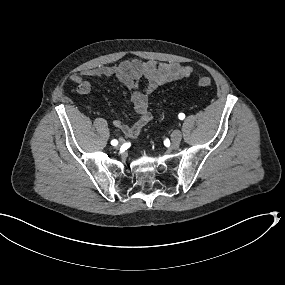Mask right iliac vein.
Masks as SVG:
<instances>
[{
	"mask_svg": "<svg viewBox=\"0 0 285 285\" xmlns=\"http://www.w3.org/2000/svg\"><path fill=\"white\" fill-rule=\"evenodd\" d=\"M122 144H124V139L120 138L119 139V145H122Z\"/></svg>",
	"mask_w": 285,
	"mask_h": 285,
	"instance_id": "63e3f726",
	"label": "right iliac vein"
}]
</instances>
